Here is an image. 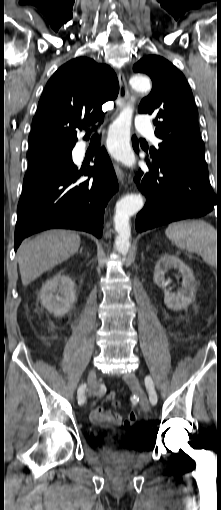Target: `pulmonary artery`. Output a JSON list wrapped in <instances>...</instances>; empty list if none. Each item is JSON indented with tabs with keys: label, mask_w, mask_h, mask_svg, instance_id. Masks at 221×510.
I'll list each match as a JSON object with an SVG mask.
<instances>
[{
	"label": "pulmonary artery",
	"mask_w": 221,
	"mask_h": 510,
	"mask_svg": "<svg viewBox=\"0 0 221 510\" xmlns=\"http://www.w3.org/2000/svg\"><path fill=\"white\" fill-rule=\"evenodd\" d=\"M135 128L138 132L147 136L148 138H153L155 143L158 142V140L154 138L153 125L147 116L139 115L135 120Z\"/></svg>",
	"instance_id": "e3ab8cb5"
}]
</instances>
